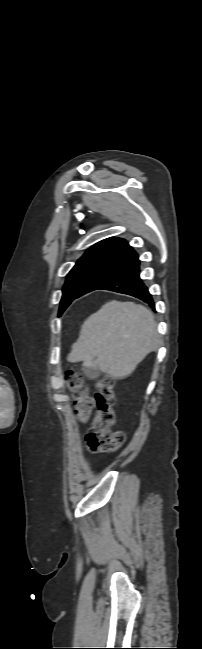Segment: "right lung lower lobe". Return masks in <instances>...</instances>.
<instances>
[{"label": "right lung lower lobe", "mask_w": 202, "mask_h": 649, "mask_svg": "<svg viewBox=\"0 0 202 649\" xmlns=\"http://www.w3.org/2000/svg\"><path fill=\"white\" fill-rule=\"evenodd\" d=\"M139 265L138 255L133 249L116 256L87 282L78 297L93 290L105 289L137 297L154 309L152 296L140 279Z\"/></svg>", "instance_id": "98d812e1"}]
</instances>
